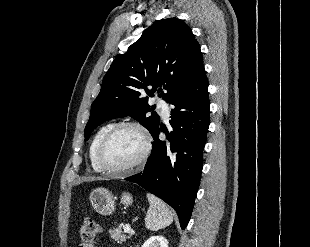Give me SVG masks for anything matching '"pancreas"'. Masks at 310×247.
<instances>
[{
  "mask_svg": "<svg viewBox=\"0 0 310 247\" xmlns=\"http://www.w3.org/2000/svg\"><path fill=\"white\" fill-rule=\"evenodd\" d=\"M111 237L117 242L122 244L126 241L127 238L130 236H126L124 232L122 231V225H120L118 228H113L110 230Z\"/></svg>",
  "mask_w": 310,
  "mask_h": 247,
  "instance_id": "obj_1",
  "label": "pancreas"
}]
</instances>
